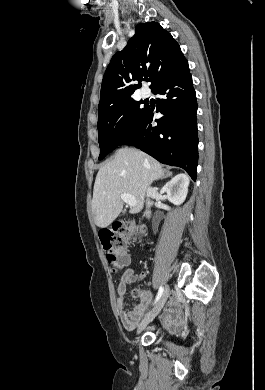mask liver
I'll list each match as a JSON object with an SVG mask.
<instances>
[{"label": "liver", "mask_w": 265, "mask_h": 390, "mask_svg": "<svg viewBox=\"0 0 265 390\" xmlns=\"http://www.w3.org/2000/svg\"><path fill=\"white\" fill-rule=\"evenodd\" d=\"M166 175L151 156L134 148L117 150L113 160L103 165L96 176L92 199L95 224L107 227L117 218L123 209L121 194L135 197L137 205L131 207L130 213H139L150 184Z\"/></svg>", "instance_id": "1"}]
</instances>
